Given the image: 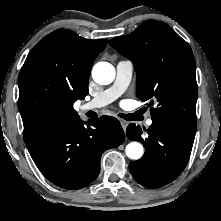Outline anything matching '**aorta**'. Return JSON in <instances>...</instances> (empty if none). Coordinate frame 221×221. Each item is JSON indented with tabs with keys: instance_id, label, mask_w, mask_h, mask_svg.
Listing matches in <instances>:
<instances>
[{
	"instance_id": "762f6f07",
	"label": "aorta",
	"mask_w": 221,
	"mask_h": 221,
	"mask_svg": "<svg viewBox=\"0 0 221 221\" xmlns=\"http://www.w3.org/2000/svg\"><path fill=\"white\" fill-rule=\"evenodd\" d=\"M92 77L98 84H110L115 78V69L108 62H99L93 67ZM125 151L130 159L138 160L143 155V146L138 142H131L126 146Z\"/></svg>"
}]
</instances>
